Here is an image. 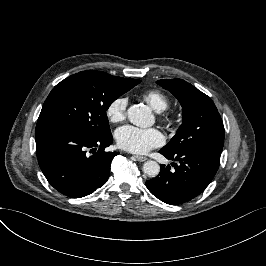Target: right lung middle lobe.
Segmentation results:
<instances>
[{
  "label": "right lung middle lobe",
  "instance_id": "1",
  "mask_svg": "<svg viewBox=\"0 0 266 266\" xmlns=\"http://www.w3.org/2000/svg\"><path fill=\"white\" fill-rule=\"evenodd\" d=\"M133 78L86 70L58 83L45 100L39 115L35 138L67 128L90 137L111 133L106 110L121 95L139 84Z\"/></svg>",
  "mask_w": 266,
  "mask_h": 266
}]
</instances>
